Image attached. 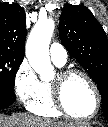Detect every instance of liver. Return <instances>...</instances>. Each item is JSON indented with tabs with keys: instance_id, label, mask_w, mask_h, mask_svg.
Wrapping results in <instances>:
<instances>
[{
	"instance_id": "obj_1",
	"label": "liver",
	"mask_w": 108,
	"mask_h": 127,
	"mask_svg": "<svg viewBox=\"0 0 108 127\" xmlns=\"http://www.w3.org/2000/svg\"><path fill=\"white\" fill-rule=\"evenodd\" d=\"M0 127H90V125L85 122H63L15 113L11 116L0 114Z\"/></svg>"
}]
</instances>
